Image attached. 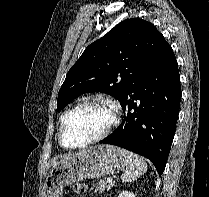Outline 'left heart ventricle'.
Here are the masks:
<instances>
[{"label": "left heart ventricle", "mask_w": 209, "mask_h": 197, "mask_svg": "<svg viewBox=\"0 0 209 197\" xmlns=\"http://www.w3.org/2000/svg\"><path fill=\"white\" fill-rule=\"evenodd\" d=\"M111 120L110 111L101 105L80 107L66 119L63 140L68 146L79 145L101 133Z\"/></svg>", "instance_id": "b2bd125f"}]
</instances>
